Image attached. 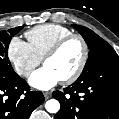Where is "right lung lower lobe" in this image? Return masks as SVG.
<instances>
[{"label": "right lung lower lobe", "mask_w": 119, "mask_h": 119, "mask_svg": "<svg viewBox=\"0 0 119 119\" xmlns=\"http://www.w3.org/2000/svg\"><path fill=\"white\" fill-rule=\"evenodd\" d=\"M43 101L42 92L30 90L16 73L0 74V119H29Z\"/></svg>", "instance_id": "right-lung-lower-lobe-1"}]
</instances>
